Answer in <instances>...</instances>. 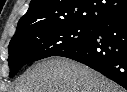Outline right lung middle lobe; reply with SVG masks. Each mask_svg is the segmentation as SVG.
Listing matches in <instances>:
<instances>
[{
	"label": "right lung middle lobe",
	"instance_id": "right-lung-middle-lobe-1",
	"mask_svg": "<svg viewBox=\"0 0 127 92\" xmlns=\"http://www.w3.org/2000/svg\"><path fill=\"white\" fill-rule=\"evenodd\" d=\"M94 29V25L88 24L40 27L12 38L9 44V77H14L30 62L56 56L88 39Z\"/></svg>",
	"mask_w": 127,
	"mask_h": 92
}]
</instances>
